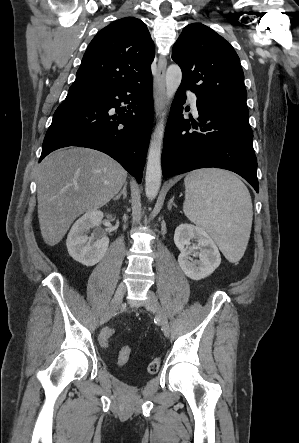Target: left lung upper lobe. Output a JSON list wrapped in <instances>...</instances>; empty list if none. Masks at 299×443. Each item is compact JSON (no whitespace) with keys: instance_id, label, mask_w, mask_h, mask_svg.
<instances>
[{"instance_id":"obj_1","label":"left lung upper lobe","mask_w":299,"mask_h":443,"mask_svg":"<svg viewBox=\"0 0 299 443\" xmlns=\"http://www.w3.org/2000/svg\"><path fill=\"white\" fill-rule=\"evenodd\" d=\"M181 85L211 107L248 115L240 60L228 41L200 23L187 25L172 50Z\"/></svg>"}]
</instances>
